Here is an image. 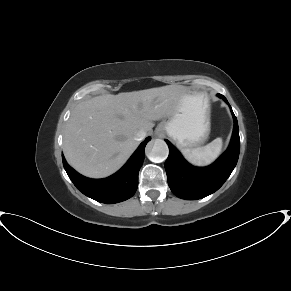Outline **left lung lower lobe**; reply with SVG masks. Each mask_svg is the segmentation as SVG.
I'll list each match as a JSON object with an SVG mask.
<instances>
[{"mask_svg": "<svg viewBox=\"0 0 291 291\" xmlns=\"http://www.w3.org/2000/svg\"><path fill=\"white\" fill-rule=\"evenodd\" d=\"M227 104V99L218 94ZM234 118V129L227 151L212 165L194 167L190 165L180 152L168 141L169 156L165 162L168 184L174 195L186 200L204 198L217 191L227 180L235 168L239 152L240 138L237 118Z\"/></svg>", "mask_w": 291, "mask_h": 291, "instance_id": "1", "label": "left lung lower lobe"}]
</instances>
